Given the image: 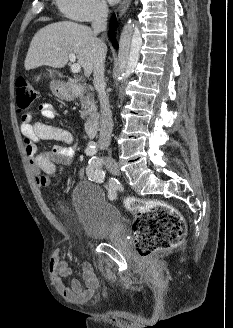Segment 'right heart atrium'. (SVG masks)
Returning <instances> with one entry per match:
<instances>
[{
	"instance_id": "1",
	"label": "right heart atrium",
	"mask_w": 233,
	"mask_h": 328,
	"mask_svg": "<svg viewBox=\"0 0 233 328\" xmlns=\"http://www.w3.org/2000/svg\"><path fill=\"white\" fill-rule=\"evenodd\" d=\"M56 3L63 15L78 22L100 19L108 11L105 0H56Z\"/></svg>"
}]
</instances>
